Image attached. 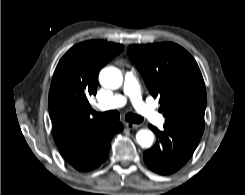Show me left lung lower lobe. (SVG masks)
Masks as SVG:
<instances>
[{
	"label": "left lung lower lobe",
	"instance_id": "1",
	"mask_svg": "<svg viewBox=\"0 0 245 195\" xmlns=\"http://www.w3.org/2000/svg\"><path fill=\"white\" fill-rule=\"evenodd\" d=\"M149 127L157 141L144 152V161L152 171L162 175L179 170L191 158L202 136L171 124H165L164 131Z\"/></svg>",
	"mask_w": 245,
	"mask_h": 195
}]
</instances>
